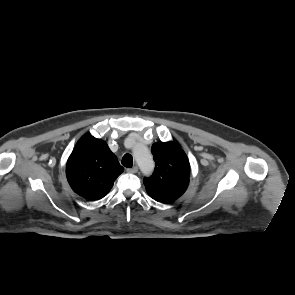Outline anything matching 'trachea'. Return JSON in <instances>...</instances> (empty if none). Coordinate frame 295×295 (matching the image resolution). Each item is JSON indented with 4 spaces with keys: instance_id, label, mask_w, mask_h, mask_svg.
<instances>
[{
    "instance_id": "3493384b",
    "label": "trachea",
    "mask_w": 295,
    "mask_h": 295,
    "mask_svg": "<svg viewBox=\"0 0 295 295\" xmlns=\"http://www.w3.org/2000/svg\"><path fill=\"white\" fill-rule=\"evenodd\" d=\"M122 165L126 168H131L133 166V157L131 154H125L123 156Z\"/></svg>"
}]
</instances>
